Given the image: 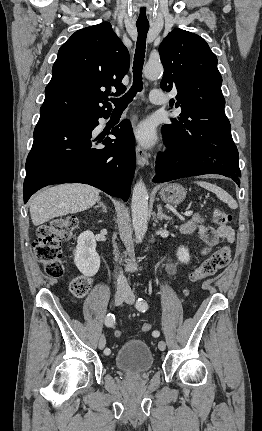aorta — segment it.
<instances>
[{
  "mask_svg": "<svg viewBox=\"0 0 262 431\" xmlns=\"http://www.w3.org/2000/svg\"><path fill=\"white\" fill-rule=\"evenodd\" d=\"M143 73L147 79L159 78L163 73V66L160 62H148ZM131 209L136 239L142 241L148 223V192L142 180L137 182L133 188Z\"/></svg>",
  "mask_w": 262,
  "mask_h": 431,
  "instance_id": "762f6f07",
  "label": "aorta"
}]
</instances>
